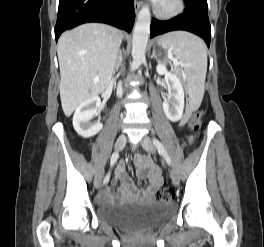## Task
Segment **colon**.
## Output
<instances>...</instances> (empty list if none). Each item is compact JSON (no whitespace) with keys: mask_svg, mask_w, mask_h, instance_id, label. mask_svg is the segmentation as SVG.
<instances>
[{"mask_svg":"<svg viewBox=\"0 0 264 247\" xmlns=\"http://www.w3.org/2000/svg\"><path fill=\"white\" fill-rule=\"evenodd\" d=\"M203 115L204 114L202 111H195L193 113L190 121V126L194 131H199ZM157 197L159 200L168 201L175 197V192L171 188H163L157 192Z\"/></svg>","mask_w":264,"mask_h":247,"instance_id":"5ec220e1","label":"colon"}]
</instances>
